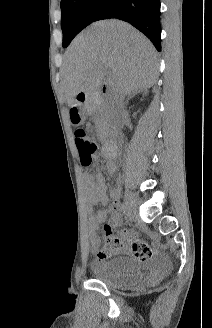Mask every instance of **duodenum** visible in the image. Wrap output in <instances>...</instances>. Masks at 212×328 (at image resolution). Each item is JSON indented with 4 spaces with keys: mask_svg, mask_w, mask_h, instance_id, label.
<instances>
[{
    "mask_svg": "<svg viewBox=\"0 0 212 328\" xmlns=\"http://www.w3.org/2000/svg\"><path fill=\"white\" fill-rule=\"evenodd\" d=\"M111 91L107 86H103L99 95L85 94L78 98V104L81 107L88 108L94 105L100 98L111 97ZM116 153V143L108 141L103 147V155L108 160V169L113 171L115 168L114 158Z\"/></svg>",
    "mask_w": 212,
    "mask_h": 328,
    "instance_id": "duodenum-1",
    "label": "duodenum"
}]
</instances>
